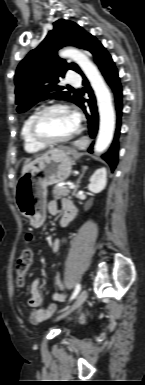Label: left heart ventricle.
<instances>
[{
  "mask_svg": "<svg viewBox=\"0 0 145 385\" xmlns=\"http://www.w3.org/2000/svg\"><path fill=\"white\" fill-rule=\"evenodd\" d=\"M39 128L43 137L56 140L72 134L77 128V122L71 114L54 110L42 119Z\"/></svg>",
  "mask_w": 145,
  "mask_h": 385,
  "instance_id": "1",
  "label": "left heart ventricle"
}]
</instances>
